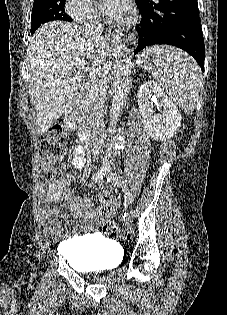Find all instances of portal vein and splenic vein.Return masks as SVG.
Wrapping results in <instances>:
<instances>
[{"mask_svg":"<svg viewBox=\"0 0 227 315\" xmlns=\"http://www.w3.org/2000/svg\"><path fill=\"white\" fill-rule=\"evenodd\" d=\"M75 65L79 68V70H83V71H85V63L82 61H80V62H76L75 63ZM87 91H88V93L89 94H94L96 91H98V88H96V87H93V86H88L87 88Z\"/></svg>","mask_w":227,"mask_h":315,"instance_id":"portal-vein-and-splenic-vein-1","label":"portal vein and splenic vein"}]
</instances>
